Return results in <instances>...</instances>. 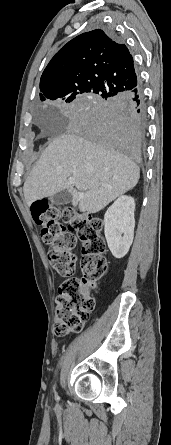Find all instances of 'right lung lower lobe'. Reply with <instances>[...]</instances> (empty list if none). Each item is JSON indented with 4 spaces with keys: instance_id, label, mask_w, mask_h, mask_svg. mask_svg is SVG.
<instances>
[{
    "instance_id": "98d812e1",
    "label": "right lung lower lobe",
    "mask_w": 171,
    "mask_h": 445,
    "mask_svg": "<svg viewBox=\"0 0 171 445\" xmlns=\"http://www.w3.org/2000/svg\"><path fill=\"white\" fill-rule=\"evenodd\" d=\"M146 110L140 85L122 96L103 95L89 113L92 135L133 160L141 157Z\"/></svg>"
}]
</instances>
